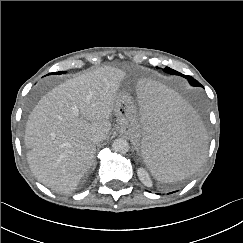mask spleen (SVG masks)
I'll return each mask as SVG.
<instances>
[{
    "mask_svg": "<svg viewBox=\"0 0 243 243\" xmlns=\"http://www.w3.org/2000/svg\"><path fill=\"white\" fill-rule=\"evenodd\" d=\"M137 147L142 165L161 183L191 176L206 153L207 136L199 116L161 82L136 85Z\"/></svg>",
    "mask_w": 243,
    "mask_h": 243,
    "instance_id": "spleen-1",
    "label": "spleen"
}]
</instances>
